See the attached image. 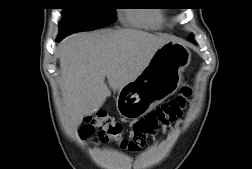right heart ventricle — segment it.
<instances>
[{"mask_svg": "<svg viewBox=\"0 0 252 169\" xmlns=\"http://www.w3.org/2000/svg\"><path fill=\"white\" fill-rule=\"evenodd\" d=\"M127 16L135 24L145 27L158 26L162 21L159 14L148 11H131Z\"/></svg>", "mask_w": 252, "mask_h": 169, "instance_id": "obj_1", "label": "right heart ventricle"}]
</instances>
